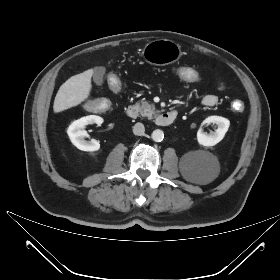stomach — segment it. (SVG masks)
I'll return each mask as SVG.
<instances>
[{"mask_svg":"<svg viewBox=\"0 0 280 280\" xmlns=\"http://www.w3.org/2000/svg\"><path fill=\"white\" fill-rule=\"evenodd\" d=\"M182 55L179 44L158 39L147 43L142 51L144 60L153 65H167L177 61Z\"/></svg>","mask_w":280,"mask_h":280,"instance_id":"stomach-1","label":"stomach"}]
</instances>
